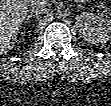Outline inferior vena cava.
Listing matches in <instances>:
<instances>
[{
	"instance_id": "inferior-vena-cava-1",
	"label": "inferior vena cava",
	"mask_w": 111,
	"mask_h": 106,
	"mask_svg": "<svg viewBox=\"0 0 111 106\" xmlns=\"http://www.w3.org/2000/svg\"><path fill=\"white\" fill-rule=\"evenodd\" d=\"M48 3L46 1H41V0H35L31 1V13L35 14L37 16L41 14H45L49 11L47 8Z\"/></svg>"
}]
</instances>
